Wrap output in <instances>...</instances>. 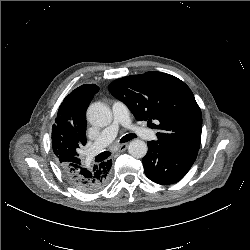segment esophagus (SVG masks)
Returning a JSON list of instances; mask_svg holds the SVG:
<instances>
[{
	"label": "esophagus",
	"mask_w": 250,
	"mask_h": 250,
	"mask_svg": "<svg viewBox=\"0 0 250 250\" xmlns=\"http://www.w3.org/2000/svg\"><path fill=\"white\" fill-rule=\"evenodd\" d=\"M127 147H128V144H127V143L118 145L117 151H118V152H124V151L127 149Z\"/></svg>",
	"instance_id": "obj_1"
}]
</instances>
